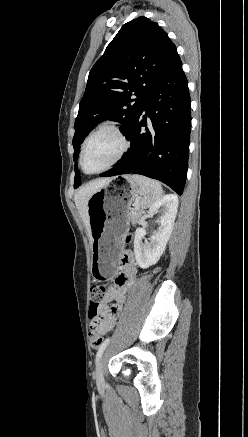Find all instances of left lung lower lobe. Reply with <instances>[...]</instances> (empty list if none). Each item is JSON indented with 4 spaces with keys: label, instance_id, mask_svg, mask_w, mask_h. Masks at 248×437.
Masks as SVG:
<instances>
[{
    "label": "left lung lower lobe",
    "instance_id": "left-lung-lower-lobe-1",
    "mask_svg": "<svg viewBox=\"0 0 248 437\" xmlns=\"http://www.w3.org/2000/svg\"><path fill=\"white\" fill-rule=\"evenodd\" d=\"M143 111L146 115L142 116ZM190 112L188 82L177 57L145 97L126 136L131 141L130 150L100 176L141 174L165 183L181 195L188 168Z\"/></svg>",
    "mask_w": 248,
    "mask_h": 437
}]
</instances>
